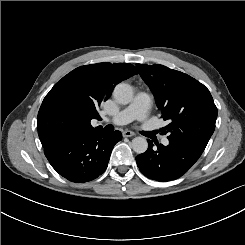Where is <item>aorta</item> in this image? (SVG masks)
Segmentation results:
<instances>
[{"mask_svg":"<svg viewBox=\"0 0 245 245\" xmlns=\"http://www.w3.org/2000/svg\"><path fill=\"white\" fill-rule=\"evenodd\" d=\"M113 96L118 103L128 104L133 98V90L130 85L120 83L114 88ZM131 147L136 153L142 154L148 149V142L144 137H135L131 142Z\"/></svg>","mask_w":245,"mask_h":245,"instance_id":"1","label":"aorta"}]
</instances>
